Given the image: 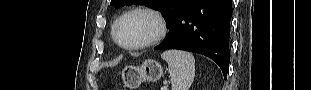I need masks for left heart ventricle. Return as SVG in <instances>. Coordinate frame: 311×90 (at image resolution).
Returning <instances> with one entry per match:
<instances>
[{"instance_id":"b2bd125f","label":"left heart ventricle","mask_w":311,"mask_h":90,"mask_svg":"<svg viewBox=\"0 0 311 90\" xmlns=\"http://www.w3.org/2000/svg\"><path fill=\"white\" fill-rule=\"evenodd\" d=\"M154 21L136 14L125 18L118 28V39L123 44H135L147 40L155 31Z\"/></svg>"}]
</instances>
